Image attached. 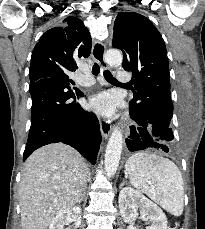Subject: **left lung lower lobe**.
<instances>
[{"mask_svg": "<svg viewBox=\"0 0 205 229\" xmlns=\"http://www.w3.org/2000/svg\"><path fill=\"white\" fill-rule=\"evenodd\" d=\"M131 118L136 126L130 127L129 139H126L130 151L143 150L148 147L161 148L165 152L171 151L173 133L171 128L158 119H152L139 111L129 109Z\"/></svg>", "mask_w": 205, "mask_h": 229, "instance_id": "left-lung-lower-lobe-1", "label": "left lung lower lobe"}]
</instances>
